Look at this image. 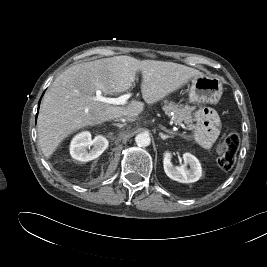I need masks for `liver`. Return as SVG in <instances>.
Here are the masks:
<instances>
[{"instance_id":"liver-1","label":"liver","mask_w":267,"mask_h":267,"mask_svg":"<svg viewBox=\"0 0 267 267\" xmlns=\"http://www.w3.org/2000/svg\"><path fill=\"white\" fill-rule=\"evenodd\" d=\"M142 76V97L153 104L203 73L182 64L115 56L77 64L60 74L46 91L39 111L37 131L43 154L50 157L73 132L129 114L139 115L144 104L132 101L117 106L95 100L129 90Z\"/></svg>"}]
</instances>
